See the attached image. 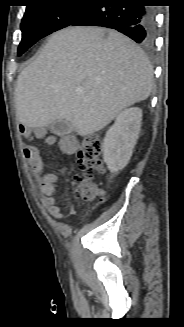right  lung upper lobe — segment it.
<instances>
[{"mask_svg":"<svg viewBox=\"0 0 184 327\" xmlns=\"http://www.w3.org/2000/svg\"><path fill=\"white\" fill-rule=\"evenodd\" d=\"M44 1H48V0H29L30 3H34V4L39 3V2H44ZM29 6H31V5H28L27 7H29Z\"/></svg>","mask_w":184,"mask_h":327,"instance_id":"cb5924a9","label":"right lung upper lobe"}]
</instances>
